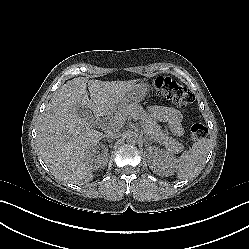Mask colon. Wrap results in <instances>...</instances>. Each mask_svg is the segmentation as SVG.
<instances>
[{"label":"colon","mask_w":249,"mask_h":249,"mask_svg":"<svg viewBox=\"0 0 249 249\" xmlns=\"http://www.w3.org/2000/svg\"><path fill=\"white\" fill-rule=\"evenodd\" d=\"M153 84L157 91L181 108L189 106L195 100L194 95L186 87L169 77H158ZM206 134L207 130L203 125L195 124L191 128L190 138L197 140Z\"/></svg>","instance_id":"1"}]
</instances>
